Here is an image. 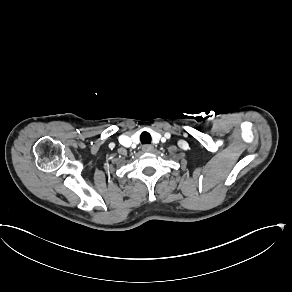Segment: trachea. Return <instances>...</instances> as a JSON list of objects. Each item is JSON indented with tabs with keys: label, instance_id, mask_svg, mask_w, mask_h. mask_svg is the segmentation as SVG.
<instances>
[{
	"label": "trachea",
	"instance_id": "trachea-1",
	"mask_svg": "<svg viewBox=\"0 0 292 292\" xmlns=\"http://www.w3.org/2000/svg\"><path fill=\"white\" fill-rule=\"evenodd\" d=\"M140 141L142 144H150L152 141V137L150 135V133L144 131L141 133L140 135Z\"/></svg>",
	"mask_w": 292,
	"mask_h": 292
}]
</instances>
